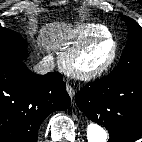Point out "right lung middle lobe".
<instances>
[{
	"mask_svg": "<svg viewBox=\"0 0 142 142\" xmlns=\"http://www.w3.org/2000/svg\"><path fill=\"white\" fill-rule=\"evenodd\" d=\"M27 56L26 40L19 33L0 25V58L16 57L25 59Z\"/></svg>",
	"mask_w": 142,
	"mask_h": 142,
	"instance_id": "obj_1",
	"label": "right lung middle lobe"
}]
</instances>
